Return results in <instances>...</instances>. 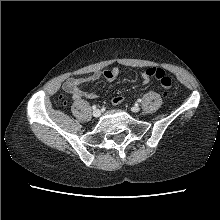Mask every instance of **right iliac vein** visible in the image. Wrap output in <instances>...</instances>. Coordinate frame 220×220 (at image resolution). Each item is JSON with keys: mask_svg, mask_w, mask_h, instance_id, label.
I'll list each match as a JSON object with an SVG mask.
<instances>
[{"mask_svg": "<svg viewBox=\"0 0 220 220\" xmlns=\"http://www.w3.org/2000/svg\"><path fill=\"white\" fill-rule=\"evenodd\" d=\"M100 115H101V111H100L99 109H96V110L93 111V116H94L95 118L100 117Z\"/></svg>", "mask_w": 220, "mask_h": 220, "instance_id": "right-iliac-vein-1", "label": "right iliac vein"}]
</instances>
